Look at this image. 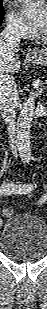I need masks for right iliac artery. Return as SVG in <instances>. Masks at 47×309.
<instances>
[{
	"instance_id": "obj_1",
	"label": "right iliac artery",
	"mask_w": 47,
	"mask_h": 309,
	"mask_svg": "<svg viewBox=\"0 0 47 309\" xmlns=\"http://www.w3.org/2000/svg\"><path fill=\"white\" fill-rule=\"evenodd\" d=\"M33 189L31 184H13L9 183L2 186L1 194L2 195H11V194H26Z\"/></svg>"
}]
</instances>
